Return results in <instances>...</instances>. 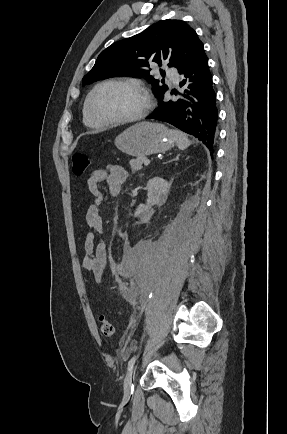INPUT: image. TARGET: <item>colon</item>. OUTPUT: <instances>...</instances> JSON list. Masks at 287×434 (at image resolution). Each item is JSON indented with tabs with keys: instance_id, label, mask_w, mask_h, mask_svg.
Listing matches in <instances>:
<instances>
[{
	"instance_id": "1",
	"label": "colon",
	"mask_w": 287,
	"mask_h": 434,
	"mask_svg": "<svg viewBox=\"0 0 287 434\" xmlns=\"http://www.w3.org/2000/svg\"><path fill=\"white\" fill-rule=\"evenodd\" d=\"M89 164H90L89 158L84 153H75L72 157V171L78 177H81L86 173ZM99 326H100L101 334L105 338L112 339L115 337L116 335L115 326L106 317L100 316Z\"/></svg>"
}]
</instances>
